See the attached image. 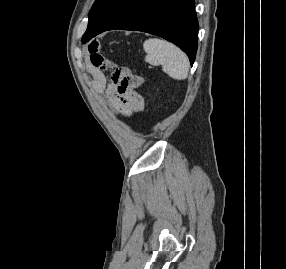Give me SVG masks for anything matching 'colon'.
I'll list each match as a JSON object with an SVG mask.
<instances>
[{
	"label": "colon",
	"mask_w": 286,
	"mask_h": 269,
	"mask_svg": "<svg viewBox=\"0 0 286 269\" xmlns=\"http://www.w3.org/2000/svg\"><path fill=\"white\" fill-rule=\"evenodd\" d=\"M115 88L118 95L124 100L125 110H142L144 99L140 95L145 78H141L127 69V65H114L113 68Z\"/></svg>",
	"instance_id": "obj_1"
}]
</instances>
